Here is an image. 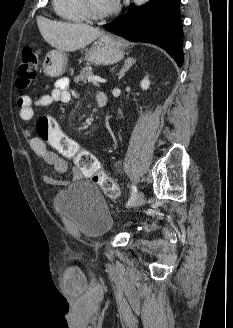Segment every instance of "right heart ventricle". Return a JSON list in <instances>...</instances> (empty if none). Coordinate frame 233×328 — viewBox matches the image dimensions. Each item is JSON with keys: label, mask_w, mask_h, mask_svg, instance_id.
<instances>
[{"label": "right heart ventricle", "mask_w": 233, "mask_h": 328, "mask_svg": "<svg viewBox=\"0 0 233 328\" xmlns=\"http://www.w3.org/2000/svg\"><path fill=\"white\" fill-rule=\"evenodd\" d=\"M56 14L68 21L81 22L87 19L82 0H53Z\"/></svg>", "instance_id": "1"}]
</instances>
